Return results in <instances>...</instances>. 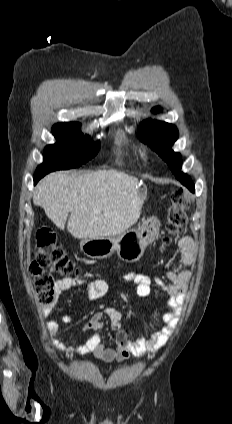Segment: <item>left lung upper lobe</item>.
Listing matches in <instances>:
<instances>
[{
	"label": "left lung upper lobe",
	"instance_id": "obj_1",
	"mask_svg": "<svg viewBox=\"0 0 232 424\" xmlns=\"http://www.w3.org/2000/svg\"><path fill=\"white\" fill-rule=\"evenodd\" d=\"M159 110H161L160 107L153 109L154 112ZM139 133L141 141L149 144L167 162L178 180L188 177L180 171L182 166L181 155L171 149L178 139V130L174 125L162 121L146 120L140 124Z\"/></svg>",
	"mask_w": 232,
	"mask_h": 424
}]
</instances>
